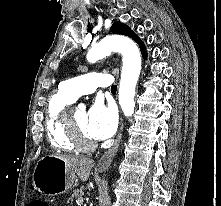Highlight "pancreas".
I'll return each mask as SVG.
<instances>
[{"label":"pancreas","mask_w":221,"mask_h":206,"mask_svg":"<svg viewBox=\"0 0 221 206\" xmlns=\"http://www.w3.org/2000/svg\"><path fill=\"white\" fill-rule=\"evenodd\" d=\"M82 196H83L82 189H77L72 193L71 197L68 199V202H73L74 200L78 201L79 198H82Z\"/></svg>","instance_id":"pancreas-1"}]
</instances>
